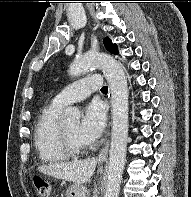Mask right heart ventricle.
<instances>
[{
    "instance_id": "right-heart-ventricle-1",
    "label": "right heart ventricle",
    "mask_w": 191,
    "mask_h": 197,
    "mask_svg": "<svg viewBox=\"0 0 191 197\" xmlns=\"http://www.w3.org/2000/svg\"><path fill=\"white\" fill-rule=\"evenodd\" d=\"M62 109L51 102L42 109L37 119L34 145L39 159L44 163H60L71 157L63 145L58 122Z\"/></svg>"
}]
</instances>
